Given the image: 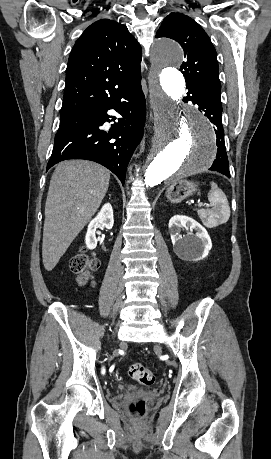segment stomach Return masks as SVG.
<instances>
[{"instance_id": "stomach-1", "label": "stomach", "mask_w": 271, "mask_h": 459, "mask_svg": "<svg viewBox=\"0 0 271 459\" xmlns=\"http://www.w3.org/2000/svg\"><path fill=\"white\" fill-rule=\"evenodd\" d=\"M197 192L196 184L187 182V180H176L169 188H167L166 198L172 204H178L182 200H186L189 196H193Z\"/></svg>"}]
</instances>
